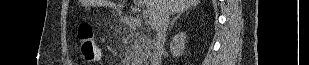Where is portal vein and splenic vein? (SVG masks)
I'll use <instances>...</instances> for the list:
<instances>
[{
	"label": "portal vein and splenic vein",
	"mask_w": 309,
	"mask_h": 65,
	"mask_svg": "<svg viewBox=\"0 0 309 65\" xmlns=\"http://www.w3.org/2000/svg\"><path fill=\"white\" fill-rule=\"evenodd\" d=\"M140 5L143 6V4H140ZM142 15H143L144 18H147L149 16V10L148 9H143Z\"/></svg>",
	"instance_id": "obj_1"
}]
</instances>
